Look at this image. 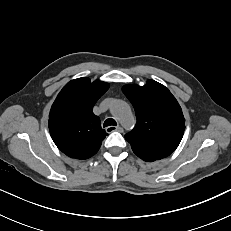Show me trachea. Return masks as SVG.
I'll return each mask as SVG.
<instances>
[{"label": "trachea", "instance_id": "1", "mask_svg": "<svg viewBox=\"0 0 231 231\" xmlns=\"http://www.w3.org/2000/svg\"><path fill=\"white\" fill-rule=\"evenodd\" d=\"M117 123L114 119L112 118H108L105 120L104 124H103V127H108V126H116Z\"/></svg>", "mask_w": 231, "mask_h": 231}]
</instances>
